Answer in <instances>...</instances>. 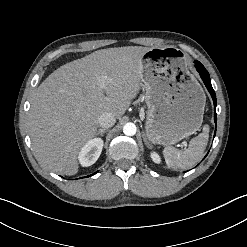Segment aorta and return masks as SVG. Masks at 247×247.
<instances>
[{
	"mask_svg": "<svg viewBox=\"0 0 247 247\" xmlns=\"http://www.w3.org/2000/svg\"><path fill=\"white\" fill-rule=\"evenodd\" d=\"M136 126L133 123H126L123 127V133L127 136H133L136 134Z\"/></svg>",
	"mask_w": 247,
	"mask_h": 247,
	"instance_id": "obj_1",
	"label": "aorta"
}]
</instances>
